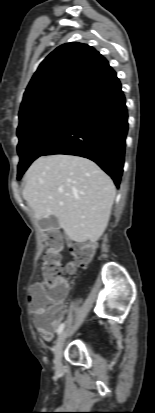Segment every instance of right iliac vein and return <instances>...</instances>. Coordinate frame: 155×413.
<instances>
[{
  "label": "right iliac vein",
  "instance_id": "1",
  "mask_svg": "<svg viewBox=\"0 0 155 413\" xmlns=\"http://www.w3.org/2000/svg\"><path fill=\"white\" fill-rule=\"evenodd\" d=\"M67 330H63L60 335L57 338V341L54 345L53 348V352H54V363H55V367L57 369H61L62 368V351H63V346L65 343V339L67 336Z\"/></svg>",
  "mask_w": 155,
  "mask_h": 413
}]
</instances>
